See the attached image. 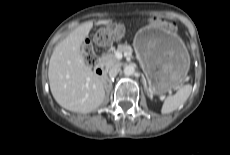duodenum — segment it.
Returning <instances> with one entry per match:
<instances>
[{"label":"duodenum","instance_id":"1","mask_svg":"<svg viewBox=\"0 0 230 155\" xmlns=\"http://www.w3.org/2000/svg\"><path fill=\"white\" fill-rule=\"evenodd\" d=\"M95 73L97 76L104 78L105 77V69H104L103 65L97 64L95 66Z\"/></svg>","mask_w":230,"mask_h":155}]
</instances>
